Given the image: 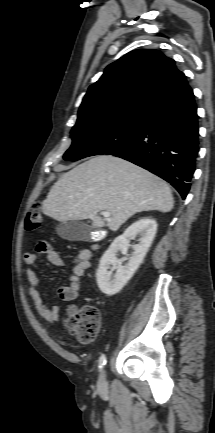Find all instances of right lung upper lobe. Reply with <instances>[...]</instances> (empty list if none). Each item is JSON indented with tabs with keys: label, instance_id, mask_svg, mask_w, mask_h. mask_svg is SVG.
<instances>
[{
	"label": "right lung upper lobe",
	"instance_id": "1",
	"mask_svg": "<svg viewBox=\"0 0 215 433\" xmlns=\"http://www.w3.org/2000/svg\"><path fill=\"white\" fill-rule=\"evenodd\" d=\"M188 86L174 60L158 50L129 52L105 69L89 87L79 108L77 123L123 115H144Z\"/></svg>",
	"mask_w": 215,
	"mask_h": 433
}]
</instances>
